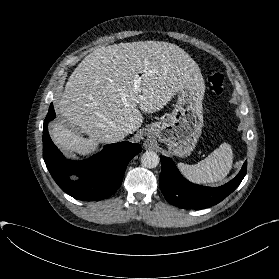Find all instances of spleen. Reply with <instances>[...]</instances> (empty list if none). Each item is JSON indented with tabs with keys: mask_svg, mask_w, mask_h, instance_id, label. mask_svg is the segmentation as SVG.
Segmentation results:
<instances>
[{
	"mask_svg": "<svg viewBox=\"0 0 279 279\" xmlns=\"http://www.w3.org/2000/svg\"><path fill=\"white\" fill-rule=\"evenodd\" d=\"M232 164V148L228 143H222L197 164L178 163V167L189 181L196 184H210L222 181L231 170Z\"/></svg>",
	"mask_w": 279,
	"mask_h": 279,
	"instance_id": "3e777b00",
	"label": "spleen"
}]
</instances>
